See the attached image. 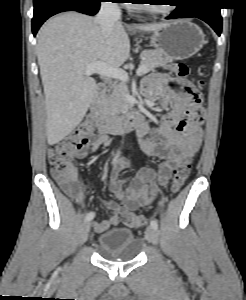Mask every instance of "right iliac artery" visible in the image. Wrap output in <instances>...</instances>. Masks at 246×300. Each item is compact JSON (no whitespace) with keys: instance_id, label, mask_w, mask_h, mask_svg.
<instances>
[{"instance_id":"1","label":"right iliac artery","mask_w":246,"mask_h":300,"mask_svg":"<svg viewBox=\"0 0 246 300\" xmlns=\"http://www.w3.org/2000/svg\"><path fill=\"white\" fill-rule=\"evenodd\" d=\"M119 157V151L117 152L116 156L114 157L112 164H115L117 159ZM95 217V213L94 212H89L86 216H85V221H91L93 218Z\"/></svg>"}]
</instances>
